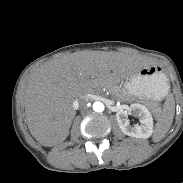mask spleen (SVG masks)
Listing matches in <instances>:
<instances>
[{
  "instance_id": "3e777b00",
  "label": "spleen",
  "mask_w": 183,
  "mask_h": 183,
  "mask_svg": "<svg viewBox=\"0 0 183 183\" xmlns=\"http://www.w3.org/2000/svg\"><path fill=\"white\" fill-rule=\"evenodd\" d=\"M167 89L169 90V85L167 86ZM174 113H175L174 99L173 97L168 96L164 103L162 114L160 115L155 126V130L153 134L154 142L160 141L169 131L173 123Z\"/></svg>"
}]
</instances>
